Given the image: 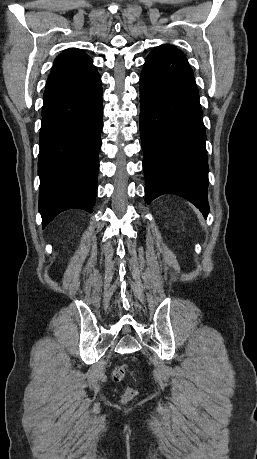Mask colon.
<instances>
[{"instance_id": "1", "label": "colon", "mask_w": 257, "mask_h": 459, "mask_svg": "<svg viewBox=\"0 0 257 459\" xmlns=\"http://www.w3.org/2000/svg\"><path fill=\"white\" fill-rule=\"evenodd\" d=\"M127 375V371L124 367L122 366H116L113 370V378L116 380V381H120L122 379H124ZM137 395V391L136 389L132 388V387H127L124 392H123V395H122V401L123 402H128V401H131L132 399H134Z\"/></svg>"}]
</instances>
